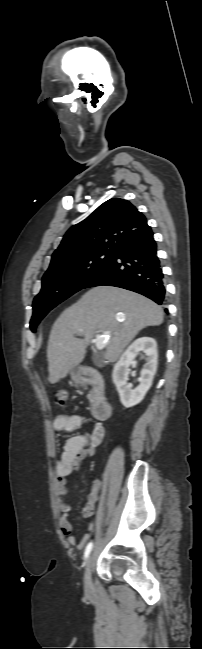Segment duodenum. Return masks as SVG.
I'll return each mask as SVG.
<instances>
[{
    "label": "duodenum",
    "mask_w": 202,
    "mask_h": 649,
    "mask_svg": "<svg viewBox=\"0 0 202 649\" xmlns=\"http://www.w3.org/2000/svg\"><path fill=\"white\" fill-rule=\"evenodd\" d=\"M79 382L92 386V411L96 418L106 420L109 418L112 405L105 394V381L103 376L94 368L83 367L78 373Z\"/></svg>",
    "instance_id": "obj_1"
}]
</instances>
